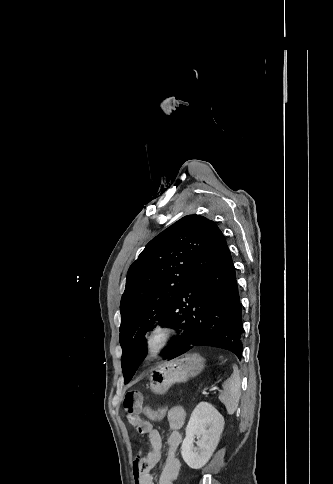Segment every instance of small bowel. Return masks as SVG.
<instances>
[{
    "label": "small bowel",
    "mask_w": 333,
    "mask_h": 484,
    "mask_svg": "<svg viewBox=\"0 0 333 484\" xmlns=\"http://www.w3.org/2000/svg\"><path fill=\"white\" fill-rule=\"evenodd\" d=\"M123 407L129 422L137 428L139 433L147 437L150 446L148 454L134 462L135 483L156 484L153 469L161 459L162 437L150 421L142 418L145 416L146 407L140 392L136 390L127 392L124 396ZM166 417L171 432L167 438L168 456L158 484H173L179 474L181 464L177 451L182 443L180 430L186 421V411L182 406H173L167 411Z\"/></svg>",
    "instance_id": "1"
}]
</instances>
